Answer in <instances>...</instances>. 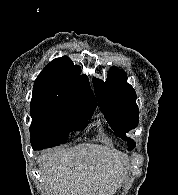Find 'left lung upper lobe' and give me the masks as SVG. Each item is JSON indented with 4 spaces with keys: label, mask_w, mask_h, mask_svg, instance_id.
Segmentation results:
<instances>
[{
    "label": "left lung upper lobe",
    "mask_w": 178,
    "mask_h": 195,
    "mask_svg": "<svg viewBox=\"0 0 178 195\" xmlns=\"http://www.w3.org/2000/svg\"><path fill=\"white\" fill-rule=\"evenodd\" d=\"M94 90L101 111L114 133L128 141V150L135 147V142L126 137V132L137 127L139 109L135 102L136 93L127 83L123 70L112 67L105 82L94 78Z\"/></svg>",
    "instance_id": "1"
}]
</instances>
